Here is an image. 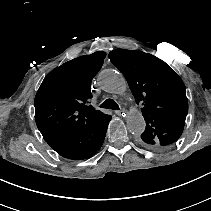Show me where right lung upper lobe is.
I'll return each instance as SVG.
<instances>
[{"instance_id":"1","label":"right lung upper lobe","mask_w":211,"mask_h":211,"mask_svg":"<svg viewBox=\"0 0 211 211\" xmlns=\"http://www.w3.org/2000/svg\"><path fill=\"white\" fill-rule=\"evenodd\" d=\"M106 54L81 56L52 70L37 91L35 120L45 141L90 124L103 113L88 104L91 81Z\"/></svg>"}]
</instances>
